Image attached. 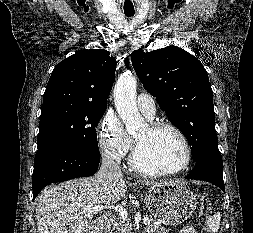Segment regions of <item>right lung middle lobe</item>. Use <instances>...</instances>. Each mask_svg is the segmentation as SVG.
Here are the masks:
<instances>
[{
    "label": "right lung middle lobe",
    "instance_id": "1",
    "mask_svg": "<svg viewBox=\"0 0 253 233\" xmlns=\"http://www.w3.org/2000/svg\"><path fill=\"white\" fill-rule=\"evenodd\" d=\"M107 105L49 102L42 105L38 146L59 144L99 155L96 126Z\"/></svg>",
    "mask_w": 253,
    "mask_h": 233
}]
</instances>
